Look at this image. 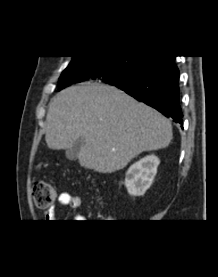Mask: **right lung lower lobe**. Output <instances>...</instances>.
Here are the masks:
<instances>
[{"mask_svg": "<svg viewBox=\"0 0 218 277\" xmlns=\"http://www.w3.org/2000/svg\"><path fill=\"white\" fill-rule=\"evenodd\" d=\"M86 79H101V76L91 72L83 76V80ZM114 86L183 126L179 99V71L174 56H155L135 77Z\"/></svg>", "mask_w": 218, "mask_h": 277, "instance_id": "1", "label": "right lung lower lobe"}]
</instances>
